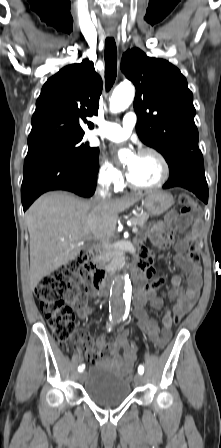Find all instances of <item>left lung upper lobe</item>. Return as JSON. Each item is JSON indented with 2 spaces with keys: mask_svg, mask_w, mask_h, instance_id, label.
Returning <instances> with one entry per match:
<instances>
[{
  "mask_svg": "<svg viewBox=\"0 0 221 448\" xmlns=\"http://www.w3.org/2000/svg\"><path fill=\"white\" fill-rule=\"evenodd\" d=\"M121 70L136 88V131L142 142L168 165L200 151L193 94L179 69L133 48L123 54Z\"/></svg>",
  "mask_w": 221,
  "mask_h": 448,
  "instance_id": "obj_1",
  "label": "left lung upper lobe"
}]
</instances>
